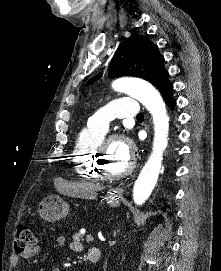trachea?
Here are the masks:
<instances>
[{
    "label": "trachea",
    "mask_w": 221,
    "mask_h": 271,
    "mask_svg": "<svg viewBox=\"0 0 221 271\" xmlns=\"http://www.w3.org/2000/svg\"><path fill=\"white\" fill-rule=\"evenodd\" d=\"M136 118H137V120H144V115L142 113H138Z\"/></svg>",
    "instance_id": "3493384b"
}]
</instances>
